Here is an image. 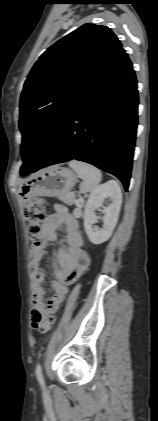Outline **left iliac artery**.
<instances>
[{
    "label": "left iliac artery",
    "instance_id": "44dca946",
    "mask_svg": "<svg viewBox=\"0 0 158 421\" xmlns=\"http://www.w3.org/2000/svg\"><path fill=\"white\" fill-rule=\"evenodd\" d=\"M36 376H37V379H38L39 383L42 386H44V379H43L41 364H38L37 367H36Z\"/></svg>",
    "mask_w": 158,
    "mask_h": 421
}]
</instances>
